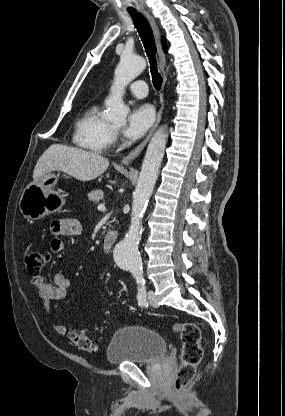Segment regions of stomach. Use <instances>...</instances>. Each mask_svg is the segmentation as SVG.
Instances as JSON below:
<instances>
[{
    "mask_svg": "<svg viewBox=\"0 0 285 416\" xmlns=\"http://www.w3.org/2000/svg\"><path fill=\"white\" fill-rule=\"evenodd\" d=\"M59 174H44L38 182H32L25 188L19 202L24 218L41 220L49 214L60 212L65 206V194L57 190Z\"/></svg>",
    "mask_w": 285,
    "mask_h": 416,
    "instance_id": "1",
    "label": "stomach"
}]
</instances>
